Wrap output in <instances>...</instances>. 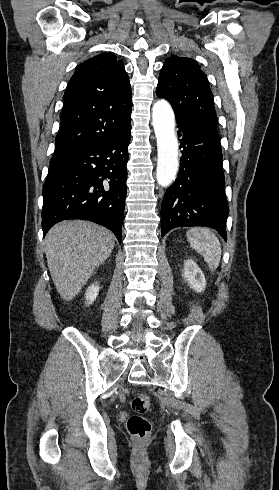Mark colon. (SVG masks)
<instances>
[{"label": "colon", "mask_w": 279, "mask_h": 490, "mask_svg": "<svg viewBox=\"0 0 279 490\" xmlns=\"http://www.w3.org/2000/svg\"><path fill=\"white\" fill-rule=\"evenodd\" d=\"M133 413L127 421V431L132 442H149L151 423L144 415L148 412L151 399L147 395H138L132 400Z\"/></svg>", "instance_id": "obj_1"}]
</instances>
